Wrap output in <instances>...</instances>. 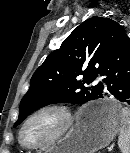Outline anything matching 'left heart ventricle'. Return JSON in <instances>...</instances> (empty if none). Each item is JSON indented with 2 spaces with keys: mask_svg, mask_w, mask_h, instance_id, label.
<instances>
[{
  "mask_svg": "<svg viewBox=\"0 0 130 153\" xmlns=\"http://www.w3.org/2000/svg\"><path fill=\"white\" fill-rule=\"evenodd\" d=\"M59 118L52 113L35 118L26 127L23 140L28 144H37L50 137L59 127Z\"/></svg>",
  "mask_w": 130,
  "mask_h": 153,
  "instance_id": "1",
  "label": "left heart ventricle"
}]
</instances>
